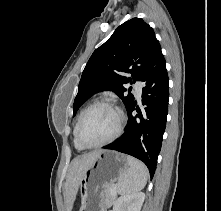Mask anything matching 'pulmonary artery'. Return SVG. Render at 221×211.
<instances>
[{
	"instance_id": "pulmonary-artery-1",
	"label": "pulmonary artery",
	"mask_w": 221,
	"mask_h": 211,
	"mask_svg": "<svg viewBox=\"0 0 221 211\" xmlns=\"http://www.w3.org/2000/svg\"><path fill=\"white\" fill-rule=\"evenodd\" d=\"M134 88H135V93H136V96L137 97H141V94H142V83L137 81L135 84H134Z\"/></svg>"
}]
</instances>
